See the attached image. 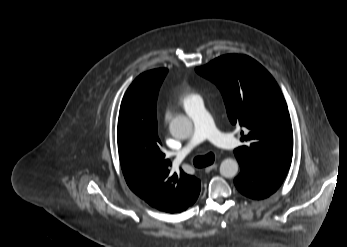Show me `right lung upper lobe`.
I'll return each instance as SVG.
<instances>
[{
	"instance_id": "obj_1",
	"label": "right lung upper lobe",
	"mask_w": 347,
	"mask_h": 247,
	"mask_svg": "<svg viewBox=\"0 0 347 247\" xmlns=\"http://www.w3.org/2000/svg\"><path fill=\"white\" fill-rule=\"evenodd\" d=\"M162 81L152 71L138 76L126 91L119 112L117 140L121 168L130 189L152 207L179 213L200 193V181L182 170L171 174L161 151L156 100Z\"/></svg>"
}]
</instances>
